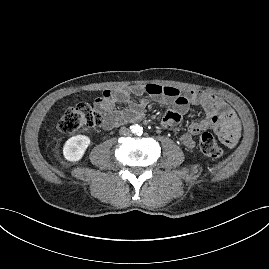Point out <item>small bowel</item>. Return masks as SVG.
Segmentation results:
<instances>
[{
  "mask_svg": "<svg viewBox=\"0 0 269 269\" xmlns=\"http://www.w3.org/2000/svg\"><path fill=\"white\" fill-rule=\"evenodd\" d=\"M144 93L158 103L172 105V108L163 115L161 121L163 128L178 126L191 105L203 108L204 118L190 123L188 132L180 136V141L185 147L194 148L193 136L206 130H213L228 147H234L238 143L241 133L240 121L221 98L204 91L190 90L181 93L177 88L156 84L104 90L102 96L95 100L96 107L104 115L103 128L111 130L121 124L141 119L148 101L145 98L132 101L131 95ZM123 103L128 104L126 109L119 108Z\"/></svg>",
  "mask_w": 269,
  "mask_h": 269,
  "instance_id": "obj_1",
  "label": "small bowel"
}]
</instances>
